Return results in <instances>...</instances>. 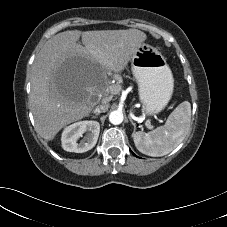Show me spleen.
Wrapping results in <instances>:
<instances>
[{
    "label": "spleen",
    "mask_w": 227,
    "mask_h": 227,
    "mask_svg": "<svg viewBox=\"0 0 227 227\" xmlns=\"http://www.w3.org/2000/svg\"><path fill=\"white\" fill-rule=\"evenodd\" d=\"M191 104L184 101L169 115L163 126L144 133L141 131L132 134L138 151L152 156L167 155L175 149L190 130Z\"/></svg>",
    "instance_id": "spleen-1"
}]
</instances>
